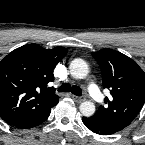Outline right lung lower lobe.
Segmentation results:
<instances>
[{
	"instance_id": "98d812e1",
	"label": "right lung lower lobe",
	"mask_w": 145,
	"mask_h": 145,
	"mask_svg": "<svg viewBox=\"0 0 145 145\" xmlns=\"http://www.w3.org/2000/svg\"><path fill=\"white\" fill-rule=\"evenodd\" d=\"M51 108H49L47 111H45L41 115L24 119V120H20L12 124V126L18 129H30V128L36 127L40 125L41 123H43L48 118L51 112Z\"/></svg>"
}]
</instances>
